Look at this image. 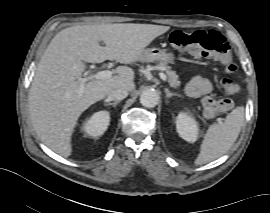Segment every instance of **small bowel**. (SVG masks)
<instances>
[{"instance_id": "c3829d8e", "label": "small bowel", "mask_w": 270, "mask_h": 213, "mask_svg": "<svg viewBox=\"0 0 270 213\" xmlns=\"http://www.w3.org/2000/svg\"><path fill=\"white\" fill-rule=\"evenodd\" d=\"M185 90L191 97H200L211 90V85L208 79L197 76L187 84Z\"/></svg>"}]
</instances>
